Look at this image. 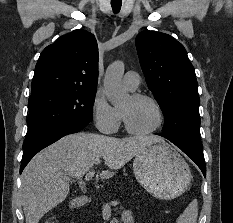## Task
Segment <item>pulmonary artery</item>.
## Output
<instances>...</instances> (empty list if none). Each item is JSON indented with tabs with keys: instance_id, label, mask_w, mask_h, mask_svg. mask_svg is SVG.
Segmentation results:
<instances>
[{
	"instance_id": "e3ab8cb5",
	"label": "pulmonary artery",
	"mask_w": 233,
	"mask_h": 223,
	"mask_svg": "<svg viewBox=\"0 0 233 223\" xmlns=\"http://www.w3.org/2000/svg\"><path fill=\"white\" fill-rule=\"evenodd\" d=\"M123 84L128 90L135 91L140 84L139 74L135 71L126 72L123 77Z\"/></svg>"
}]
</instances>
